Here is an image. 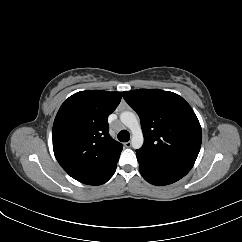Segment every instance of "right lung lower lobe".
Returning a JSON list of instances; mask_svg holds the SVG:
<instances>
[{"instance_id":"right-lung-lower-lobe-1","label":"right lung lower lobe","mask_w":242,"mask_h":242,"mask_svg":"<svg viewBox=\"0 0 242 242\" xmlns=\"http://www.w3.org/2000/svg\"><path fill=\"white\" fill-rule=\"evenodd\" d=\"M120 154L102 166L97 172H95L90 178L86 179L82 183L89 185H101L107 182L114 174L119 160Z\"/></svg>"}]
</instances>
